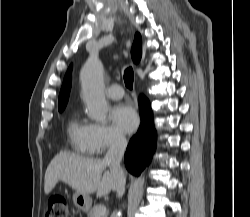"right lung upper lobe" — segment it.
<instances>
[{"instance_id": "1", "label": "right lung upper lobe", "mask_w": 250, "mask_h": 217, "mask_svg": "<svg viewBox=\"0 0 250 217\" xmlns=\"http://www.w3.org/2000/svg\"><path fill=\"white\" fill-rule=\"evenodd\" d=\"M141 46H142L141 35L139 33H136L135 39L132 45V49H131V55H132V59L134 63H138L141 59V56H142ZM71 74H72V65H70L67 73L65 74L63 84L61 87V91L59 94V99H58L59 111L60 110L63 111L65 109L66 104L69 99V94H70V89H71V79H72Z\"/></svg>"}]
</instances>
